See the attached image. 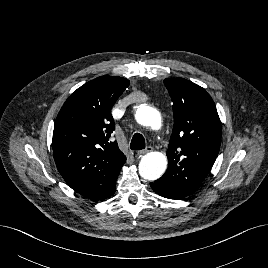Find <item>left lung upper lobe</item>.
<instances>
[{
    "label": "left lung upper lobe",
    "mask_w": 268,
    "mask_h": 268,
    "mask_svg": "<svg viewBox=\"0 0 268 268\" xmlns=\"http://www.w3.org/2000/svg\"><path fill=\"white\" fill-rule=\"evenodd\" d=\"M164 84L173 101L174 127L167 150L168 168L153 182L179 196L197 191L210 172L221 143V122L210 95L183 78Z\"/></svg>",
    "instance_id": "1"
}]
</instances>
